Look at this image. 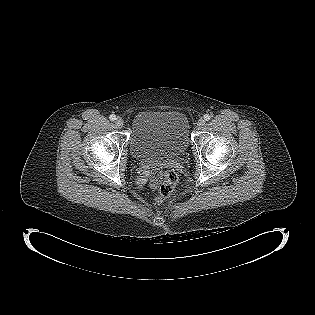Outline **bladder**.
<instances>
[{
    "label": "bladder",
    "mask_w": 315,
    "mask_h": 315,
    "mask_svg": "<svg viewBox=\"0 0 315 315\" xmlns=\"http://www.w3.org/2000/svg\"><path fill=\"white\" fill-rule=\"evenodd\" d=\"M189 121L178 110L138 112L132 119L129 138L131 155L142 162L176 159L189 146Z\"/></svg>",
    "instance_id": "obj_1"
}]
</instances>
